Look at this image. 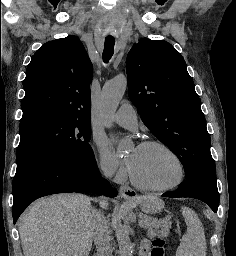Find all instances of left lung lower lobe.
Here are the masks:
<instances>
[{"instance_id":"1","label":"left lung lower lobe","mask_w":236,"mask_h":256,"mask_svg":"<svg viewBox=\"0 0 236 256\" xmlns=\"http://www.w3.org/2000/svg\"><path fill=\"white\" fill-rule=\"evenodd\" d=\"M162 196L171 198L190 197L199 199L208 204L214 212H217L219 205V193L216 179L207 177L189 178L182 182L177 190L166 192Z\"/></svg>"}]
</instances>
